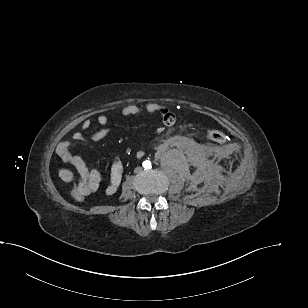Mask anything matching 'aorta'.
<instances>
[{"mask_svg":"<svg viewBox=\"0 0 308 308\" xmlns=\"http://www.w3.org/2000/svg\"><path fill=\"white\" fill-rule=\"evenodd\" d=\"M147 164H148V165H146V163H145V166L151 167V163H150V162H148Z\"/></svg>","mask_w":308,"mask_h":308,"instance_id":"aorta-1","label":"aorta"}]
</instances>
